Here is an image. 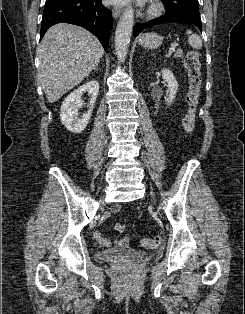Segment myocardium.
Returning a JSON list of instances; mask_svg holds the SVG:
<instances>
[{
	"label": "myocardium",
	"instance_id": "f54148a6",
	"mask_svg": "<svg viewBox=\"0 0 245 314\" xmlns=\"http://www.w3.org/2000/svg\"><path fill=\"white\" fill-rule=\"evenodd\" d=\"M163 11L162 4L158 2H153L150 4V6L147 8V15L148 16H158Z\"/></svg>",
	"mask_w": 245,
	"mask_h": 314
}]
</instances>
